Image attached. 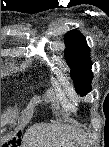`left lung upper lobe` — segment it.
Returning <instances> with one entry per match:
<instances>
[{
	"mask_svg": "<svg viewBox=\"0 0 109 147\" xmlns=\"http://www.w3.org/2000/svg\"><path fill=\"white\" fill-rule=\"evenodd\" d=\"M65 59L71 68L70 75L74 81L76 91L82 96L91 90L92 63L90 61V48L86 39L79 31H69L65 35Z\"/></svg>",
	"mask_w": 109,
	"mask_h": 147,
	"instance_id": "5c2ea615",
	"label": "left lung upper lobe"
}]
</instances>
